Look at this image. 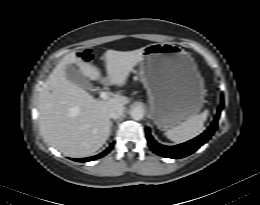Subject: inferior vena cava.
<instances>
[{
	"mask_svg": "<svg viewBox=\"0 0 260 205\" xmlns=\"http://www.w3.org/2000/svg\"><path fill=\"white\" fill-rule=\"evenodd\" d=\"M124 111V106L121 104H117L109 108L108 110V117L112 119H118L120 116H122Z\"/></svg>",
	"mask_w": 260,
	"mask_h": 205,
	"instance_id": "inferior-vena-cava-1",
	"label": "inferior vena cava"
}]
</instances>
